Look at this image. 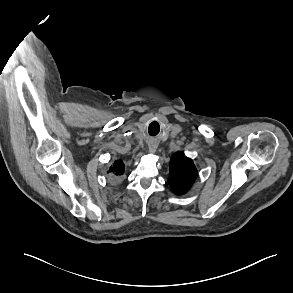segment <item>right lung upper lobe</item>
I'll return each instance as SVG.
<instances>
[{
  "mask_svg": "<svg viewBox=\"0 0 293 293\" xmlns=\"http://www.w3.org/2000/svg\"><path fill=\"white\" fill-rule=\"evenodd\" d=\"M110 172H113L117 176L122 175L124 173L123 162L120 160L115 161L113 166L110 167Z\"/></svg>",
  "mask_w": 293,
  "mask_h": 293,
  "instance_id": "cb5924a9",
  "label": "right lung upper lobe"
}]
</instances>
